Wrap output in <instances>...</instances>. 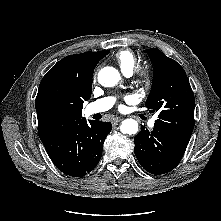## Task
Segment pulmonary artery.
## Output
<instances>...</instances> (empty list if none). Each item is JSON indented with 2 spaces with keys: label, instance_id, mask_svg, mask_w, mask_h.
<instances>
[{
  "label": "pulmonary artery",
  "instance_id": "1",
  "mask_svg": "<svg viewBox=\"0 0 221 221\" xmlns=\"http://www.w3.org/2000/svg\"><path fill=\"white\" fill-rule=\"evenodd\" d=\"M131 74H126V76H130ZM114 104L113 97H104L99 100H96L87 106V113L88 114H95L105 112L110 109ZM156 121V117L152 118L149 121V126L153 127Z\"/></svg>",
  "mask_w": 221,
  "mask_h": 221
}]
</instances>
